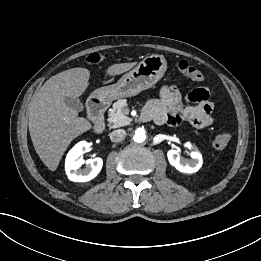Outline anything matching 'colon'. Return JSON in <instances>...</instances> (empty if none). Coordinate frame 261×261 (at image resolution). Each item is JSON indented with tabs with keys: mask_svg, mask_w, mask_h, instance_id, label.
<instances>
[{
	"mask_svg": "<svg viewBox=\"0 0 261 261\" xmlns=\"http://www.w3.org/2000/svg\"><path fill=\"white\" fill-rule=\"evenodd\" d=\"M104 56L100 53H91L86 57V61L89 64H97L103 60ZM179 71L192 81H202L204 76L202 72L196 67L190 65L186 60H181L177 63ZM231 140V136L228 133H221L217 135L213 140V147L217 150L225 149Z\"/></svg>",
	"mask_w": 261,
	"mask_h": 261,
	"instance_id": "1",
	"label": "colon"
}]
</instances>
